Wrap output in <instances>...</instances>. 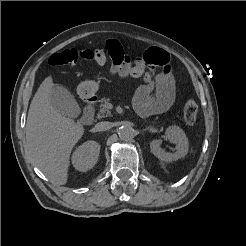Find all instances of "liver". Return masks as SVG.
I'll list each match as a JSON object with an SVG mask.
<instances>
[{
	"mask_svg": "<svg viewBox=\"0 0 246 246\" xmlns=\"http://www.w3.org/2000/svg\"><path fill=\"white\" fill-rule=\"evenodd\" d=\"M53 86L52 77H46L31 101L26 142L34 164L53 184L65 185L70 154L81 139L84 127L55 110L50 101Z\"/></svg>",
	"mask_w": 246,
	"mask_h": 246,
	"instance_id": "liver-1",
	"label": "liver"
}]
</instances>
